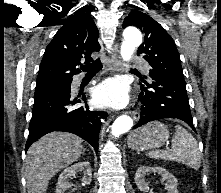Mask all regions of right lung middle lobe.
I'll use <instances>...</instances> for the list:
<instances>
[{
  "instance_id": "right-lung-middle-lobe-1",
  "label": "right lung middle lobe",
  "mask_w": 221,
  "mask_h": 193,
  "mask_svg": "<svg viewBox=\"0 0 221 193\" xmlns=\"http://www.w3.org/2000/svg\"><path fill=\"white\" fill-rule=\"evenodd\" d=\"M71 86V82L66 83H58V84H52L47 86H40L36 87L34 96H38L40 94L49 92V91H63V90H69Z\"/></svg>"
}]
</instances>
